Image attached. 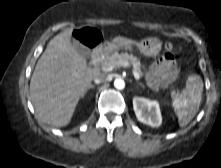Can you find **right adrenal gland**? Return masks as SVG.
Listing matches in <instances>:
<instances>
[{"label":"right adrenal gland","mask_w":221,"mask_h":168,"mask_svg":"<svg viewBox=\"0 0 221 168\" xmlns=\"http://www.w3.org/2000/svg\"><path fill=\"white\" fill-rule=\"evenodd\" d=\"M93 88H95V86L94 85H90L89 89H93Z\"/></svg>","instance_id":"2a0ac1e0"}]
</instances>
